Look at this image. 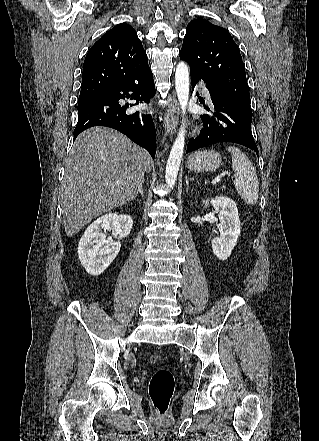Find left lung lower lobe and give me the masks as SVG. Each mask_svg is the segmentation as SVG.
<instances>
[{
  "instance_id": "1",
  "label": "left lung lower lobe",
  "mask_w": 319,
  "mask_h": 441,
  "mask_svg": "<svg viewBox=\"0 0 319 441\" xmlns=\"http://www.w3.org/2000/svg\"><path fill=\"white\" fill-rule=\"evenodd\" d=\"M200 80V77L191 74L193 87ZM206 87L210 92L213 110L204 105L210 114L201 115L204 129L200 136L190 139L186 153L212 144L233 142L251 148L258 155L251 132L252 111L236 103L216 87L208 84Z\"/></svg>"
}]
</instances>
